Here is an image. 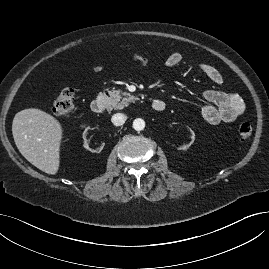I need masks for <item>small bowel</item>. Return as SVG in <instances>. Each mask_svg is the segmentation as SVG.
I'll list each match as a JSON object with an SVG mask.
<instances>
[{
  "label": "small bowel",
  "instance_id": "small-bowel-1",
  "mask_svg": "<svg viewBox=\"0 0 269 269\" xmlns=\"http://www.w3.org/2000/svg\"><path fill=\"white\" fill-rule=\"evenodd\" d=\"M150 59L142 54H134L132 63L144 66L149 63ZM182 61L179 53H171L166 58V66L173 68L178 66ZM199 70L216 84L223 83L221 72L213 65L208 63H200ZM101 66L93 68L94 72H100ZM204 105L201 108V116L203 120L209 124L216 125L219 123H231L240 117L245 110V102L241 96L232 92H224L219 90H206L203 92Z\"/></svg>",
  "mask_w": 269,
  "mask_h": 269
}]
</instances>
